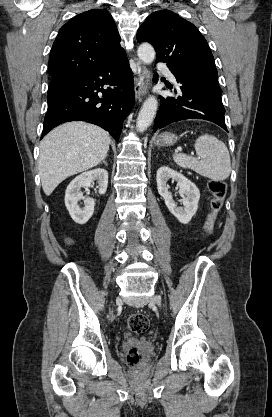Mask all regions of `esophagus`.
<instances>
[{"label": "esophagus", "instance_id": "1", "mask_svg": "<svg viewBox=\"0 0 272 417\" xmlns=\"http://www.w3.org/2000/svg\"><path fill=\"white\" fill-rule=\"evenodd\" d=\"M136 67L137 78L135 79L134 91L136 99L141 101L147 93L150 75L147 68L140 61H136Z\"/></svg>", "mask_w": 272, "mask_h": 417}]
</instances>
